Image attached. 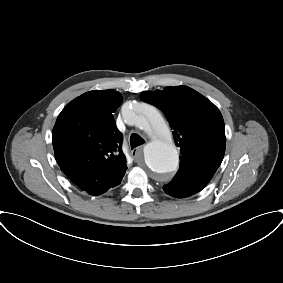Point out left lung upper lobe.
<instances>
[{
    "instance_id": "obj_1",
    "label": "left lung upper lobe",
    "mask_w": 283,
    "mask_h": 283,
    "mask_svg": "<svg viewBox=\"0 0 283 283\" xmlns=\"http://www.w3.org/2000/svg\"><path fill=\"white\" fill-rule=\"evenodd\" d=\"M141 97L165 113L181 148L180 168L169 184L183 179L205 187L225 153L224 121L218 108L186 86L143 91Z\"/></svg>"
}]
</instances>
